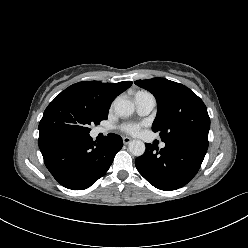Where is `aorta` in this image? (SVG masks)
<instances>
[{
	"label": "aorta",
	"instance_id": "aorta-1",
	"mask_svg": "<svg viewBox=\"0 0 248 248\" xmlns=\"http://www.w3.org/2000/svg\"><path fill=\"white\" fill-rule=\"evenodd\" d=\"M134 104L126 99H117L114 103V110L118 116L128 117L134 112ZM129 151L134 156H141L145 152V144L141 140H132L129 143Z\"/></svg>",
	"mask_w": 248,
	"mask_h": 248
}]
</instances>
